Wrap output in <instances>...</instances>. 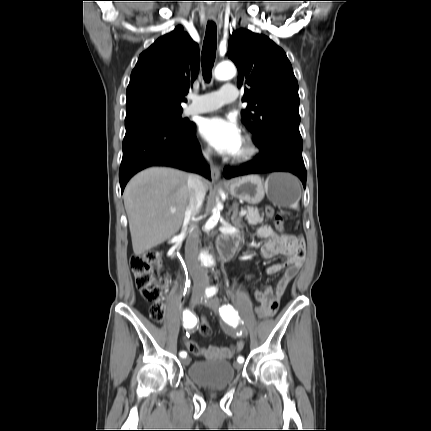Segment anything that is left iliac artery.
<instances>
[{
    "label": "left iliac artery",
    "instance_id": "left-iliac-artery-1",
    "mask_svg": "<svg viewBox=\"0 0 431 431\" xmlns=\"http://www.w3.org/2000/svg\"><path fill=\"white\" fill-rule=\"evenodd\" d=\"M213 293H215L214 289H212L210 296L213 295ZM207 296H208V294H207ZM219 312H220L221 317L225 321L229 322L232 325H237V322H238L237 320L239 317H238L237 311L233 308L232 305L224 304L221 308H219ZM237 361L239 363H243L244 358L242 356H239Z\"/></svg>",
    "mask_w": 431,
    "mask_h": 431
}]
</instances>
